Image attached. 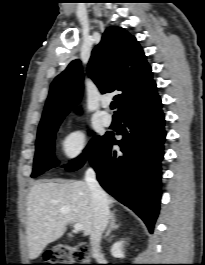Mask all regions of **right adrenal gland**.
Masks as SVG:
<instances>
[{"label":"right adrenal gland","instance_id":"1","mask_svg":"<svg viewBox=\"0 0 205 265\" xmlns=\"http://www.w3.org/2000/svg\"><path fill=\"white\" fill-rule=\"evenodd\" d=\"M110 218H111L110 226H109L107 232L105 233L104 239H106L111 234V232L113 230H116L119 228V225H117L115 223V214L114 213L111 214Z\"/></svg>","mask_w":205,"mask_h":265}]
</instances>
